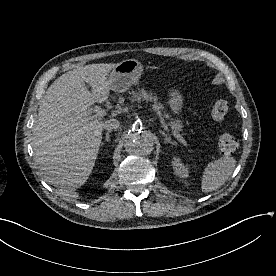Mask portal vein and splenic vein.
<instances>
[{
	"label": "portal vein and splenic vein",
	"mask_w": 276,
	"mask_h": 276,
	"mask_svg": "<svg viewBox=\"0 0 276 276\" xmlns=\"http://www.w3.org/2000/svg\"><path fill=\"white\" fill-rule=\"evenodd\" d=\"M93 115L90 116L91 119H95V120H100L102 117H104L106 115V111L101 108L100 106H95L93 108ZM172 134L184 145H186V141L184 140V138L182 137V135H180L178 133V131H176L174 128H172Z\"/></svg>",
	"instance_id": "1"
}]
</instances>
